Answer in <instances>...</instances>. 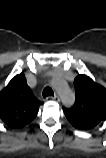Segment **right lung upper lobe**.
Listing matches in <instances>:
<instances>
[{"label":"right lung upper lobe","mask_w":106,"mask_h":158,"mask_svg":"<svg viewBox=\"0 0 106 158\" xmlns=\"http://www.w3.org/2000/svg\"><path fill=\"white\" fill-rule=\"evenodd\" d=\"M41 104L20 73L0 92V121L10 128H22L36 117Z\"/></svg>","instance_id":"1"}]
</instances>
